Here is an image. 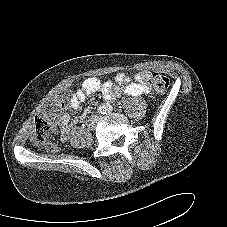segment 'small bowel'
I'll return each instance as SVG.
<instances>
[{"instance_id":"obj_1","label":"small bowel","mask_w":227,"mask_h":227,"mask_svg":"<svg viewBox=\"0 0 227 227\" xmlns=\"http://www.w3.org/2000/svg\"><path fill=\"white\" fill-rule=\"evenodd\" d=\"M151 73L147 70L138 72L131 78L124 72L118 73L113 80L102 82L96 77L85 79L80 87L72 94L69 106L78 110L86 97L94 92L101 91L105 100L113 101L121 94L130 96H139L150 92L148 83ZM56 124L60 128V140L67 141L71 134V115L68 112H62L56 116Z\"/></svg>"}]
</instances>
